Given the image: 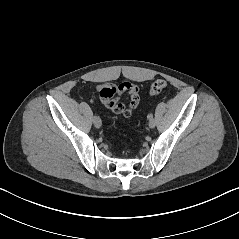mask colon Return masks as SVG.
Wrapping results in <instances>:
<instances>
[{
  "instance_id": "5ec220e1",
  "label": "colon",
  "mask_w": 239,
  "mask_h": 239,
  "mask_svg": "<svg viewBox=\"0 0 239 239\" xmlns=\"http://www.w3.org/2000/svg\"><path fill=\"white\" fill-rule=\"evenodd\" d=\"M167 87V82L163 79L157 80L152 83L150 87V95L154 96L161 93Z\"/></svg>"
}]
</instances>
